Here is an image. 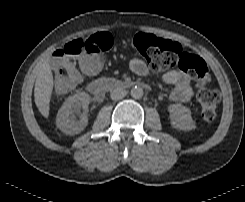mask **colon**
<instances>
[{"mask_svg":"<svg viewBox=\"0 0 245 202\" xmlns=\"http://www.w3.org/2000/svg\"><path fill=\"white\" fill-rule=\"evenodd\" d=\"M113 44L114 39L109 33H101L59 46L53 52L57 64L56 85L63 89L74 82V57L100 54L110 50ZM131 44L154 72H163L179 65L183 71L190 73L197 83L202 118L205 121L215 118L220 94L216 89L208 87V67L201 57L188 53L178 42L157 38L144 32L135 34ZM95 60L99 62L98 58Z\"/></svg>","mask_w":245,"mask_h":202,"instance_id":"obj_1","label":"colon"}]
</instances>
